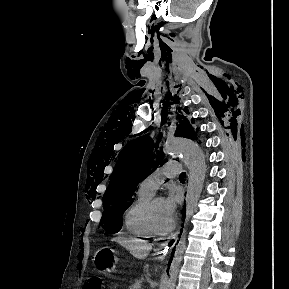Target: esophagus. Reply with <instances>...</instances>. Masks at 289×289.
Instances as JSON below:
<instances>
[{
    "instance_id": "obj_1",
    "label": "esophagus",
    "mask_w": 289,
    "mask_h": 289,
    "mask_svg": "<svg viewBox=\"0 0 289 289\" xmlns=\"http://www.w3.org/2000/svg\"><path fill=\"white\" fill-rule=\"evenodd\" d=\"M180 232H181V227L172 236H170L166 241L158 245V247L156 248V254L159 257H165L166 254L174 247V245L176 244L179 238Z\"/></svg>"
}]
</instances>
